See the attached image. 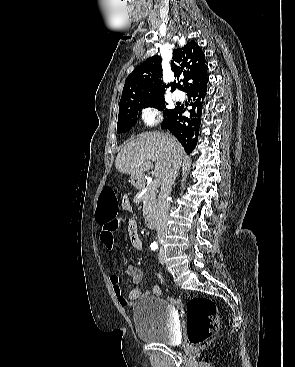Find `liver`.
Segmentation results:
<instances>
[{
    "label": "liver",
    "mask_w": 295,
    "mask_h": 367,
    "mask_svg": "<svg viewBox=\"0 0 295 367\" xmlns=\"http://www.w3.org/2000/svg\"><path fill=\"white\" fill-rule=\"evenodd\" d=\"M184 156L182 145L172 136L162 132H144L127 143L118 153L116 169L122 174L142 177L153 168L154 174L162 181L174 164H181Z\"/></svg>",
    "instance_id": "obj_1"
}]
</instances>
